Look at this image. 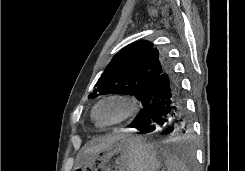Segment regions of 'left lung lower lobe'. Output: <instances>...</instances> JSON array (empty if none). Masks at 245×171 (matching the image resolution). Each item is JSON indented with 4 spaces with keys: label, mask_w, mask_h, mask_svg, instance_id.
<instances>
[{
    "label": "left lung lower lobe",
    "mask_w": 245,
    "mask_h": 171,
    "mask_svg": "<svg viewBox=\"0 0 245 171\" xmlns=\"http://www.w3.org/2000/svg\"><path fill=\"white\" fill-rule=\"evenodd\" d=\"M140 101L143 109L129 127L138 129L142 134L152 132L156 125L165 126L174 133L185 132V100L180 83L168 66L145 88Z\"/></svg>",
    "instance_id": "left-lung-lower-lobe-1"
}]
</instances>
